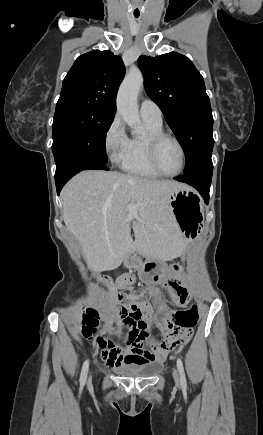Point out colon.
<instances>
[{"instance_id": "colon-1", "label": "colon", "mask_w": 263, "mask_h": 435, "mask_svg": "<svg viewBox=\"0 0 263 435\" xmlns=\"http://www.w3.org/2000/svg\"><path fill=\"white\" fill-rule=\"evenodd\" d=\"M105 282L110 286V280L106 279ZM144 295L150 296L151 293L149 292ZM135 296L141 299L139 295ZM113 297L117 300H126L128 295L113 292ZM143 302L148 305L145 301ZM198 319L199 308L196 305L186 310L176 312L174 323L179 321L182 324V327L179 330L175 329L174 332L171 333L176 337L175 341H178L180 345L183 344L188 339L191 329L196 325ZM83 322V334L86 337L95 340L97 342V348L100 350H103L104 348H108L109 350H163L169 343V340L166 337L154 338V335L151 332H148L146 328H139L138 330L136 328H127L125 330V335H120V340L116 342L111 338L106 339L102 336L100 330V315L98 312L85 314ZM184 323H189V328H184Z\"/></svg>"}]
</instances>
